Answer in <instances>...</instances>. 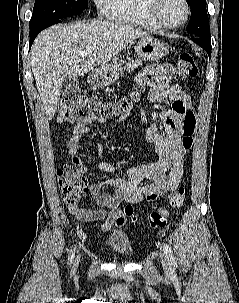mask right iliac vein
<instances>
[{
	"mask_svg": "<svg viewBox=\"0 0 239 303\" xmlns=\"http://www.w3.org/2000/svg\"><path fill=\"white\" fill-rule=\"evenodd\" d=\"M78 264H79V258H77V260L75 261V263H74V267H77V266H78Z\"/></svg>",
	"mask_w": 239,
	"mask_h": 303,
	"instance_id": "right-iliac-vein-1",
	"label": "right iliac vein"
}]
</instances>
